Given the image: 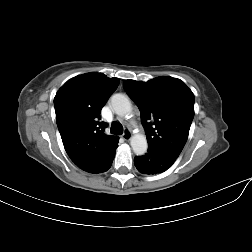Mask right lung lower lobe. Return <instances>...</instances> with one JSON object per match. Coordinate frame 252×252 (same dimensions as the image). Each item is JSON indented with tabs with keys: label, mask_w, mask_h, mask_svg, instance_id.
<instances>
[{
	"label": "right lung lower lobe",
	"mask_w": 252,
	"mask_h": 252,
	"mask_svg": "<svg viewBox=\"0 0 252 252\" xmlns=\"http://www.w3.org/2000/svg\"><path fill=\"white\" fill-rule=\"evenodd\" d=\"M117 147H118V145L116 146V148H117ZM116 148H115V150H116ZM115 150H114V152H113V154H112V161H113L114 156H115ZM112 161H111V163L108 165V167H107V169H106L105 171H107V170L111 167ZM105 171H104V172H105Z\"/></svg>",
	"instance_id": "98d812e1"
}]
</instances>
